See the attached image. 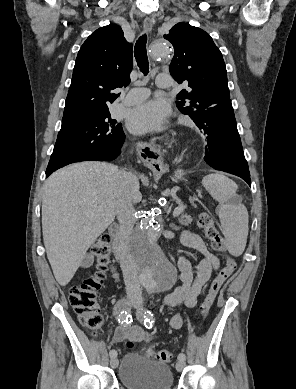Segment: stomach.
I'll use <instances>...</instances> for the list:
<instances>
[{"label":"stomach","mask_w":296,"mask_h":389,"mask_svg":"<svg viewBox=\"0 0 296 389\" xmlns=\"http://www.w3.org/2000/svg\"><path fill=\"white\" fill-rule=\"evenodd\" d=\"M151 177L155 181H160L164 177V172L162 169H150Z\"/></svg>","instance_id":"0dacf381"}]
</instances>
